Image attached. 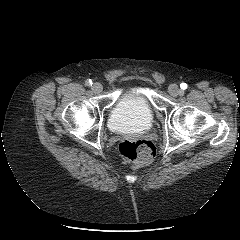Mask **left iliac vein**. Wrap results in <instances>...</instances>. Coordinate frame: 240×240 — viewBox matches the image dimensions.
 <instances>
[{"label": "left iliac vein", "instance_id": "left-iliac-vein-1", "mask_svg": "<svg viewBox=\"0 0 240 240\" xmlns=\"http://www.w3.org/2000/svg\"><path fill=\"white\" fill-rule=\"evenodd\" d=\"M168 92L172 96H178L182 93V91L179 89L178 85H176V84H171L168 88Z\"/></svg>", "mask_w": 240, "mask_h": 240}]
</instances>
